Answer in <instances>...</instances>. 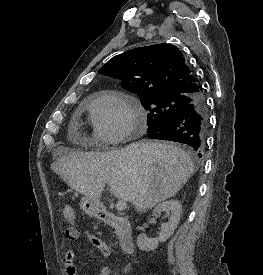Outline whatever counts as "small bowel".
Masks as SVG:
<instances>
[{"label": "small bowel", "mask_w": 263, "mask_h": 275, "mask_svg": "<svg viewBox=\"0 0 263 275\" xmlns=\"http://www.w3.org/2000/svg\"><path fill=\"white\" fill-rule=\"evenodd\" d=\"M68 240H78L84 237L93 247L97 248L103 256L109 257L111 255V249L101 238L91 234L85 233L82 235L75 227L67 228L65 232ZM75 253L73 250H67L64 256V271L66 275H77V268L74 263ZM111 270L108 266H103L100 269L98 275H110Z\"/></svg>", "instance_id": "c3829d8e"}]
</instances>
